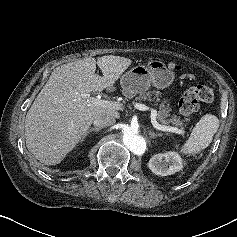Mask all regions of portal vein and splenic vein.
Masks as SVG:
<instances>
[{"instance_id":"1","label":"portal vein and splenic vein","mask_w":237,"mask_h":237,"mask_svg":"<svg viewBox=\"0 0 237 237\" xmlns=\"http://www.w3.org/2000/svg\"><path fill=\"white\" fill-rule=\"evenodd\" d=\"M84 97L87 98L89 104H92L94 106H100V107L109 108V109H113V110H122L123 109L122 105L117 102L104 100V99H101L100 97L89 98L88 95H84ZM134 108L137 110H140V111H150V113H151L150 119H151V123L154 126V128L161 130V131L173 132V133H177V134H184V131L177 128V127L165 126V125L159 124L156 120L158 114L155 109L150 108L142 103L134 104Z\"/></svg>"}]
</instances>
